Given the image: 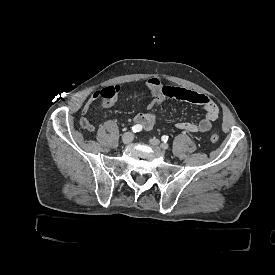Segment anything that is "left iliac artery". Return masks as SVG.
Returning a JSON list of instances; mask_svg holds the SVG:
<instances>
[{
    "instance_id": "44dca946",
    "label": "left iliac artery",
    "mask_w": 275,
    "mask_h": 275,
    "mask_svg": "<svg viewBox=\"0 0 275 275\" xmlns=\"http://www.w3.org/2000/svg\"><path fill=\"white\" fill-rule=\"evenodd\" d=\"M161 139H162V141H163L164 143H166L167 140H168V136L163 135V136L161 137Z\"/></svg>"
}]
</instances>
